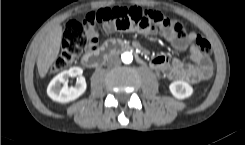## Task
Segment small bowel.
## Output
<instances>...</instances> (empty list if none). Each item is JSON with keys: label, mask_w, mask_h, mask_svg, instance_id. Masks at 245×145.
<instances>
[{"label": "small bowel", "mask_w": 245, "mask_h": 145, "mask_svg": "<svg viewBox=\"0 0 245 145\" xmlns=\"http://www.w3.org/2000/svg\"><path fill=\"white\" fill-rule=\"evenodd\" d=\"M102 28L106 33H111L115 30L116 26L113 22L107 21L103 23ZM138 32L144 34L151 33L149 31ZM92 33L94 34V32ZM157 33L178 51L185 50L195 37V34L192 32L177 34L170 25H164ZM137 46L140 45L137 43ZM190 59L195 63L194 65H186L178 59L170 60L165 56H156L152 60V66L157 70L163 71L170 80L185 78L190 82H198L204 78V70L209 61L195 47L190 49Z\"/></svg>", "instance_id": "1"}]
</instances>
